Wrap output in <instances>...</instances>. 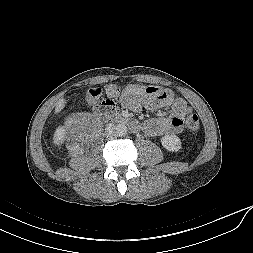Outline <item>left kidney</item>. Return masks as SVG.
<instances>
[{"mask_svg": "<svg viewBox=\"0 0 253 253\" xmlns=\"http://www.w3.org/2000/svg\"><path fill=\"white\" fill-rule=\"evenodd\" d=\"M162 146L168 151H179L181 148V140L176 135H165L161 138Z\"/></svg>", "mask_w": 253, "mask_h": 253, "instance_id": "obj_1", "label": "left kidney"}]
</instances>
